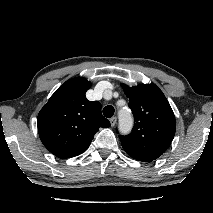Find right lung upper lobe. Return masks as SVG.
Returning a JSON list of instances; mask_svg holds the SVG:
<instances>
[{
	"mask_svg": "<svg viewBox=\"0 0 213 213\" xmlns=\"http://www.w3.org/2000/svg\"><path fill=\"white\" fill-rule=\"evenodd\" d=\"M91 83L83 77L66 81L38 114L40 139L55 156L66 159L84 152L100 127H110L101 104L88 101Z\"/></svg>",
	"mask_w": 213,
	"mask_h": 213,
	"instance_id": "cb5924a9",
	"label": "right lung upper lobe"
}]
</instances>
